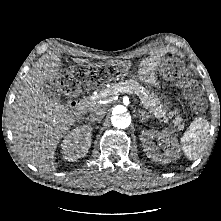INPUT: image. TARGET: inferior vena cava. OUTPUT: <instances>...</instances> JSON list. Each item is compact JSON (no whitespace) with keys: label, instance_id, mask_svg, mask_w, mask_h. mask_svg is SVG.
I'll return each mask as SVG.
<instances>
[{"label":"inferior vena cava","instance_id":"1","mask_svg":"<svg viewBox=\"0 0 221 221\" xmlns=\"http://www.w3.org/2000/svg\"><path fill=\"white\" fill-rule=\"evenodd\" d=\"M105 115V107L101 105L94 106L89 115V122H100Z\"/></svg>","mask_w":221,"mask_h":221}]
</instances>
